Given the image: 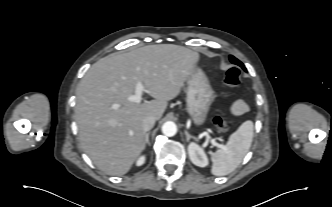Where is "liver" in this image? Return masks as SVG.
I'll use <instances>...</instances> for the list:
<instances>
[{"label": "liver", "instance_id": "liver-1", "mask_svg": "<svg viewBox=\"0 0 332 207\" xmlns=\"http://www.w3.org/2000/svg\"><path fill=\"white\" fill-rule=\"evenodd\" d=\"M199 59L191 49L160 44L113 53L91 66L77 87L75 120L81 146L100 170L108 175L130 170L145 149L143 119L162 117ZM138 82L155 100H128Z\"/></svg>", "mask_w": 332, "mask_h": 207}]
</instances>
